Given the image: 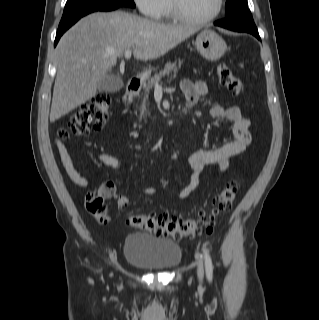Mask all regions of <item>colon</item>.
<instances>
[{
	"mask_svg": "<svg viewBox=\"0 0 319 320\" xmlns=\"http://www.w3.org/2000/svg\"><path fill=\"white\" fill-rule=\"evenodd\" d=\"M217 76L220 84L229 91L239 94L242 90L240 78L232 73L225 64H219ZM110 97L107 94H97L90 101L84 103L80 109L72 116L68 125L59 130L62 138L70 136H85L100 130L110 117ZM238 182L228 183L214 198L213 208L210 213L200 214L193 219H173L165 215L156 214H134L127 217V223L144 231L156 235H165L174 239L182 237H194L208 235L213 231L217 217L231 206L237 190ZM113 191L111 183L104 184L103 194L88 193L85 200L86 210L99 222L107 220V209L104 197ZM129 200L123 197L119 202V207L128 206Z\"/></svg>",
	"mask_w": 319,
	"mask_h": 320,
	"instance_id": "colon-1",
	"label": "colon"
}]
</instances>
